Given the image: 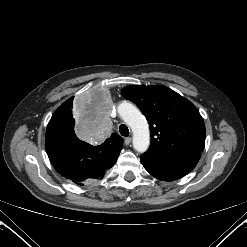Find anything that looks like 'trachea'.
I'll use <instances>...</instances> for the list:
<instances>
[{
    "instance_id": "3493384b",
    "label": "trachea",
    "mask_w": 247,
    "mask_h": 247,
    "mask_svg": "<svg viewBox=\"0 0 247 247\" xmlns=\"http://www.w3.org/2000/svg\"><path fill=\"white\" fill-rule=\"evenodd\" d=\"M119 131L122 136L128 137L129 136V129L125 124H121L119 126Z\"/></svg>"
}]
</instances>
